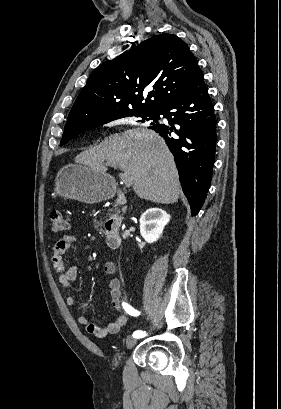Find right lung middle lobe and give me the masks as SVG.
Returning a JSON list of instances; mask_svg holds the SVG:
<instances>
[{
	"label": "right lung middle lobe",
	"mask_w": 281,
	"mask_h": 409,
	"mask_svg": "<svg viewBox=\"0 0 281 409\" xmlns=\"http://www.w3.org/2000/svg\"><path fill=\"white\" fill-rule=\"evenodd\" d=\"M127 116L141 117L143 119H147V120L152 119L153 121H156L157 118H158V113L157 112H151V111L124 112V113H120V114H117V115L110 116L108 118H105V119L100 120V121H98L96 123L90 124L88 126L65 128L60 145H64L69 140H71L73 137H75L76 135H78V134H80L82 132H85L87 130H90V129L96 128L98 126L104 125V124H106L108 122H111L113 120L124 118V117H127Z\"/></svg>",
	"instance_id": "dd1d6c3e"
}]
</instances>
